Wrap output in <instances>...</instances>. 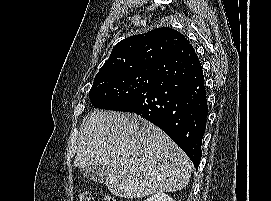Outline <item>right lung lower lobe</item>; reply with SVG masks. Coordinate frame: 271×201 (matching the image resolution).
I'll return each instance as SVG.
<instances>
[{
    "instance_id": "98d812e1",
    "label": "right lung lower lobe",
    "mask_w": 271,
    "mask_h": 201,
    "mask_svg": "<svg viewBox=\"0 0 271 201\" xmlns=\"http://www.w3.org/2000/svg\"><path fill=\"white\" fill-rule=\"evenodd\" d=\"M153 80L118 111L134 112L161 128L198 169L208 115L204 75L185 38L152 68Z\"/></svg>"
}]
</instances>
